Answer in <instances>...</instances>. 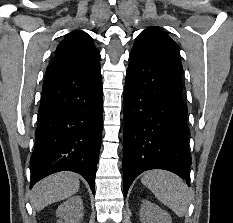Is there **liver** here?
Segmentation results:
<instances>
[{"mask_svg": "<svg viewBox=\"0 0 233 223\" xmlns=\"http://www.w3.org/2000/svg\"><path fill=\"white\" fill-rule=\"evenodd\" d=\"M79 187L80 181L77 173L59 171V173L44 177L34 185L30 195L31 203L37 211H40L54 201L71 197L77 193Z\"/></svg>", "mask_w": 233, "mask_h": 223, "instance_id": "liver-1", "label": "liver"}]
</instances>
